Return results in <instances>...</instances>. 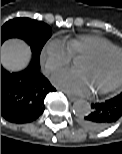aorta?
I'll list each match as a JSON object with an SVG mask.
<instances>
[{
  "instance_id": "aorta-1",
  "label": "aorta",
  "mask_w": 122,
  "mask_h": 154,
  "mask_svg": "<svg viewBox=\"0 0 122 154\" xmlns=\"http://www.w3.org/2000/svg\"><path fill=\"white\" fill-rule=\"evenodd\" d=\"M91 111L90 103L86 100H77L73 104V112L78 117H84Z\"/></svg>"
}]
</instances>
